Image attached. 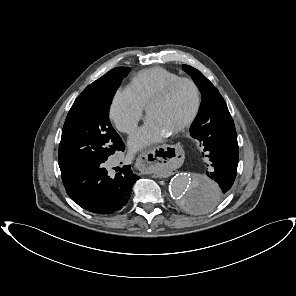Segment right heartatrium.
<instances>
[{"label":"right heart atrium","instance_id":"obj_1","mask_svg":"<svg viewBox=\"0 0 296 296\" xmlns=\"http://www.w3.org/2000/svg\"><path fill=\"white\" fill-rule=\"evenodd\" d=\"M143 113L144 107L127 90L115 92L109 107V117L119 131L133 133L143 118Z\"/></svg>","mask_w":296,"mask_h":296}]
</instances>
